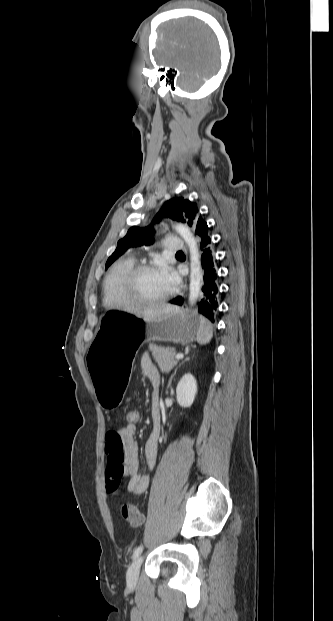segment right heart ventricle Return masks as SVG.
I'll return each instance as SVG.
<instances>
[{
	"mask_svg": "<svg viewBox=\"0 0 333 621\" xmlns=\"http://www.w3.org/2000/svg\"><path fill=\"white\" fill-rule=\"evenodd\" d=\"M133 266V259H122L115 263L106 275L102 287V300L106 307H117L126 304L121 298L119 283L124 274Z\"/></svg>",
	"mask_w": 333,
	"mask_h": 621,
	"instance_id": "e07e8e85",
	"label": "right heart ventricle"
}]
</instances>
